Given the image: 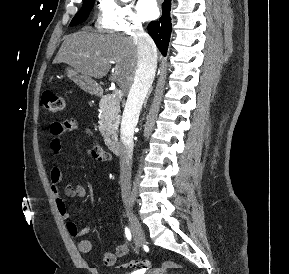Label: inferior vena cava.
I'll list each match as a JSON object with an SVG mask.
<instances>
[{
    "mask_svg": "<svg viewBox=\"0 0 289 274\" xmlns=\"http://www.w3.org/2000/svg\"><path fill=\"white\" fill-rule=\"evenodd\" d=\"M133 40L138 49L137 67L122 116L120 137V184L124 196L128 195L131 189L134 128L157 67L155 44L142 25H138L134 30Z\"/></svg>",
    "mask_w": 289,
    "mask_h": 274,
    "instance_id": "602c4592",
    "label": "inferior vena cava"
}]
</instances>
